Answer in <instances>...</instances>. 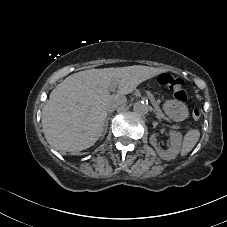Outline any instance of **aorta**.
<instances>
[{"label":"aorta","mask_w":227,"mask_h":227,"mask_svg":"<svg viewBox=\"0 0 227 227\" xmlns=\"http://www.w3.org/2000/svg\"><path fill=\"white\" fill-rule=\"evenodd\" d=\"M133 111L139 116L146 115L149 112V105L145 101L135 102L133 105Z\"/></svg>","instance_id":"1"}]
</instances>
